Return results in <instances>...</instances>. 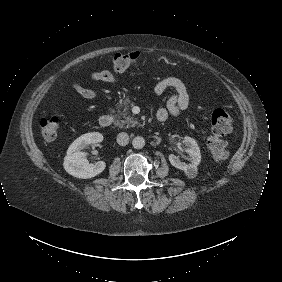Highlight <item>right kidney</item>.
Returning <instances> with one entry per match:
<instances>
[{
    "mask_svg": "<svg viewBox=\"0 0 282 282\" xmlns=\"http://www.w3.org/2000/svg\"><path fill=\"white\" fill-rule=\"evenodd\" d=\"M102 138L100 133H87L77 138L69 146L63 162V167L69 175L79 179H90L105 170L106 163L104 161L89 164L87 153L82 151L88 145L102 141Z\"/></svg>",
    "mask_w": 282,
    "mask_h": 282,
    "instance_id": "1",
    "label": "right kidney"
}]
</instances>
